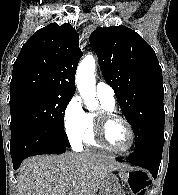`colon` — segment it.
I'll return each mask as SVG.
<instances>
[{
  "label": "colon",
  "instance_id": "obj_1",
  "mask_svg": "<svg viewBox=\"0 0 178 195\" xmlns=\"http://www.w3.org/2000/svg\"><path fill=\"white\" fill-rule=\"evenodd\" d=\"M150 184V178L145 172L137 171L131 174L130 186L134 195H145V190Z\"/></svg>",
  "mask_w": 178,
  "mask_h": 195
}]
</instances>
